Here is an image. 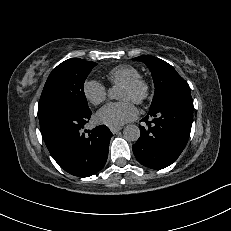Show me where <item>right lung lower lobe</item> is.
Segmentation results:
<instances>
[{
  "instance_id": "1",
  "label": "right lung lower lobe",
  "mask_w": 231,
  "mask_h": 231,
  "mask_svg": "<svg viewBox=\"0 0 231 231\" xmlns=\"http://www.w3.org/2000/svg\"><path fill=\"white\" fill-rule=\"evenodd\" d=\"M91 111H61L40 121L45 144L55 161L68 173L88 177L106 163L112 133L105 125L82 133Z\"/></svg>"
}]
</instances>
